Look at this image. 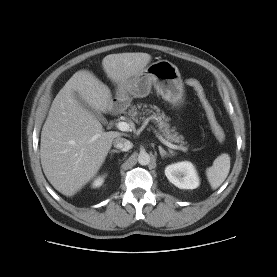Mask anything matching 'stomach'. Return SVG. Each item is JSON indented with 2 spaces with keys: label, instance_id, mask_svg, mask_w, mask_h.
<instances>
[{
  "label": "stomach",
  "instance_id": "stomach-1",
  "mask_svg": "<svg viewBox=\"0 0 277 277\" xmlns=\"http://www.w3.org/2000/svg\"><path fill=\"white\" fill-rule=\"evenodd\" d=\"M152 85L174 107L184 102V85L177 66L168 60H158L126 83L118 85L113 101L114 109L124 111L130 106L132 97H146Z\"/></svg>",
  "mask_w": 277,
  "mask_h": 277
}]
</instances>
